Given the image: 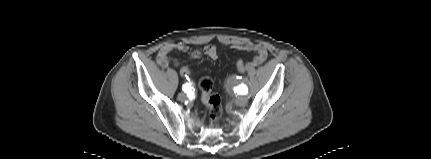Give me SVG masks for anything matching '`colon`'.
I'll return each mask as SVG.
<instances>
[{
	"mask_svg": "<svg viewBox=\"0 0 431 159\" xmlns=\"http://www.w3.org/2000/svg\"><path fill=\"white\" fill-rule=\"evenodd\" d=\"M236 66L238 67V75L245 76V62L242 58L236 59ZM180 76L183 79H188L190 77L189 65H180ZM199 88L201 90L203 103L208 110L209 119L212 123H215L220 119L222 115L221 98L219 95L212 93L213 82L208 77H204L200 80Z\"/></svg>",
	"mask_w": 431,
	"mask_h": 159,
	"instance_id": "obj_1",
	"label": "colon"
}]
</instances>
